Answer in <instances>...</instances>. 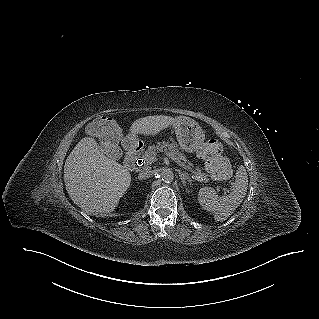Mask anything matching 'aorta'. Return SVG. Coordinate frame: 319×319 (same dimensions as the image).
<instances>
[{
  "label": "aorta",
  "mask_w": 319,
  "mask_h": 319,
  "mask_svg": "<svg viewBox=\"0 0 319 319\" xmlns=\"http://www.w3.org/2000/svg\"><path fill=\"white\" fill-rule=\"evenodd\" d=\"M160 177L163 182L170 183L174 180V174L170 169H163L160 174Z\"/></svg>",
  "instance_id": "aorta-1"
}]
</instances>
